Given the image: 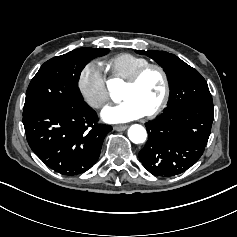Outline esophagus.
Wrapping results in <instances>:
<instances>
[{"label": "esophagus", "instance_id": "34e87169", "mask_svg": "<svg viewBox=\"0 0 237 237\" xmlns=\"http://www.w3.org/2000/svg\"><path fill=\"white\" fill-rule=\"evenodd\" d=\"M128 128L127 125H115L113 126V129L116 130V131H123V130H126Z\"/></svg>", "mask_w": 237, "mask_h": 237}]
</instances>
